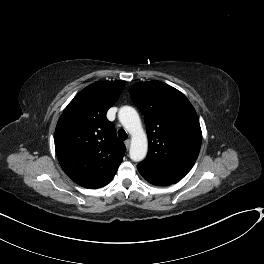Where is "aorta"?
Listing matches in <instances>:
<instances>
[{
    "label": "aorta",
    "instance_id": "obj_1",
    "mask_svg": "<svg viewBox=\"0 0 264 264\" xmlns=\"http://www.w3.org/2000/svg\"><path fill=\"white\" fill-rule=\"evenodd\" d=\"M118 118L131 134L130 158L136 162L142 161L147 155L148 141L137 111L131 106H123L119 109Z\"/></svg>",
    "mask_w": 264,
    "mask_h": 264
}]
</instances>
